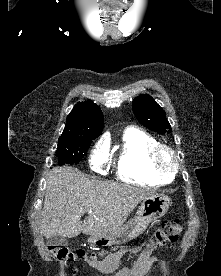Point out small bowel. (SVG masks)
Here are the masks:
<instances>
[{
	"instance_id": "obj_1",
	"label": "small bowel",
	"mask_w": 221,
	"mask_h": 276,
	"mask_svg": "<svg viewBox=\"0 0 221 276\" xmlns=\"http://www.w3.org/2000/svg\"><path fill=\"white\" fill-rule=\"evenodd\" d=\"M139 251V247H134L129 251H118L104 259L90 262V266L94 269L96 276H144L157 261L154 249L151 248L140 251L139 257L130 267L119 269V264L126 255Z\"/></svg>"
}]
</instances>
